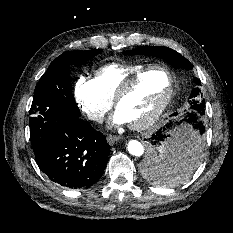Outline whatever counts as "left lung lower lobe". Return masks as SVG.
<instances>
[{
	"label": "left lung lower lobe",
	"instance_id": "left-lung-lower-lobe-1",
	"mask_svg": "<svg viewBox=\"0 0 233 233\" xmlns=\"http://www.w3.org/2000/svg\"><path fill=\"white\" fill-rule=\"evenodd\" d=\"M189 123V122H187ZM175 124H179L178 122H175L174 124L171 122L168 124V126L159 129L155 134L152 135L150 138V142L152 145L155 147H162L163 144L165 143L166 139L170 137V135L167 134L168 130L174 127ZM193 128L200 134L203 135L205 132V127L203 125V122L201 120H198L196 122H191ZM162 150L161 149H156V152H153L151 157L149 158L148 161V168H152L153 166L157 165V161L163 156L162 155ZM172 181V178L170 177L167 180H164V182H170ZM163 182V180L161 181Z\"/></svg>",
	"mask_w": 233,
	"mask_h": 233
}]
</instances>
